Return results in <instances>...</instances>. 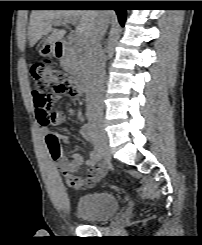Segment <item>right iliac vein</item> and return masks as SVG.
<instances>
[{
	"instance_id": "63e3f726",
	"label": "right iliac vein",
	"mask_w": 202,
	"mask_h": 245,
	"mask_svg": "<svg viewBox=\"0 0 202 245\" xmlns=\"http://www.w3.org/2000/svg\"><path fill=\"white\" fill-rule=\"evenodd\" d=\"M89 122L95 129L98 139L101 142V144L104 146H107V135H106V132L104 131L103 122L94 117H89Z\"/></svg>"
}]
</instances>
